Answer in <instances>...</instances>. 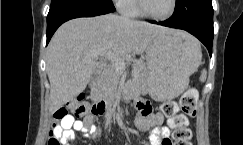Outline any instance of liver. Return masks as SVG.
<instances>
[{
	"label": "liver",
	"instance_id": "obj_1",
	"mask_svg": "<svg viewBox=\"0 0 243 145\" xmlns=\"http://www.w3.org/2000/svg\"><path fill=\"white\" fill-rule=\"evenodd\" d=\"M189 34L118 15L77 18L59 27L46 56L50 81V111L53 113L80 94L98 66L96 52L107 50L118 56L147 51L158 35Z\"/></svg>",
	"mask_w": 243,
	"mask_h": 145
}]
</instances>
